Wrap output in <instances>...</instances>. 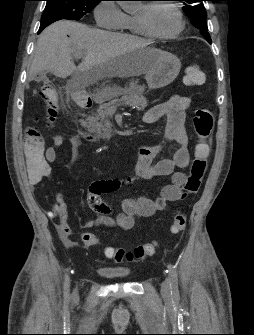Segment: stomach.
I'll return each mask as SVG.
<instances>
[{"mask_svg":"<svg viewBox=\"0 0 254 335\" xmlns=\"http://www.w3.org/2000/svg\"><path fill=\"white\" fill-rule=\"evenodd\" d=\"M146 50L154 58V64L145 76L148 88L159 89L171 84L181 69L179 58L161 49L147 47Z\"/></svg>","mask_w":254,"mask_h":335,"instance_id":"stomach-1","label":"stomach"}]
</instances>
